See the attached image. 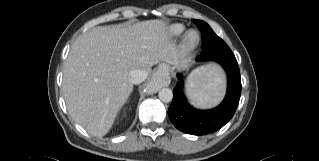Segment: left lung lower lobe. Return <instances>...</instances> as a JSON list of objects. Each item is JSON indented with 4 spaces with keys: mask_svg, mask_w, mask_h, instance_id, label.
<instances>
[{
    "mask_svg": "<svg viewBox=\"0 0 319 161\" xmlns=\"http://www.w3.org/2000/svg\"><path fill=\"white\" fill-rule=\"evenodd\" d=\"M212 32V31H211ZM208 34L210 32L207 31ZM219 63L228 77L227 94L223 102L211 110H197L191 107L183 93V79L173 90V100L168 109V116L173 125L180 131L194 135H206L219 130L234 115L241 95L240 70L236 58L213 60Z\"/></svg>",
    "mask_w": 319,
    "mask_h": 161,
    "instance_id": "1",
    "label": "left lung lower lobe"
}]
</instances>
